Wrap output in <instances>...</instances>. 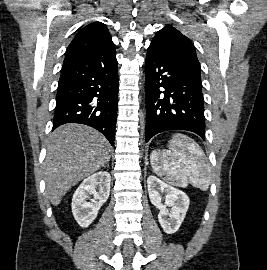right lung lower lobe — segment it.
<instances>
[{"label":"right lung lower lobe","mask_w":267,"mask_h":270,"mask_svg":"<svg viewBox=\"0 0 267 270\" xmlns=\"http://www.w3.org/2000/svg\"><path fill=\"white\" fill-rule=\"evenodd\" d=\"M117 107L118 68L114 46L64 62L53 130L65 123H81L99 130L114 145Z\"/></svg>","instance_id":"obj_1"}]
</instances>
